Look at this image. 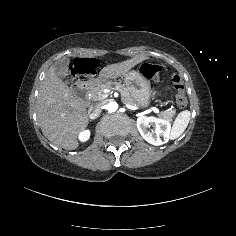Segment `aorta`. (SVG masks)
<instances>
[{"label":"aorta","instance_id":"obj_1","mask_svg":"<svg viewBox=\"0 0 236 236\" xmlns=\"http://www.w3.org/2000/svg\"><path fill=\"white\" fill-rule=\"evenodd\" d=\"M117 109H118V104H117V102H109V103L107 104V110H108L109 112H116Z\"/></svg>","mask_w":236,"mask_h":236}]
</instances>
